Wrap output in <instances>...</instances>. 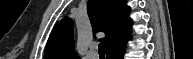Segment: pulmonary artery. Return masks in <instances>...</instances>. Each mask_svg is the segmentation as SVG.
I'll return each mask as SVG.
<instances>
[{"mask_svg":"<svg viewBox=\"0 0 193 59\" xmlns=\"http://www.w3.org/2000/svg\"><path fill=\"white\" fill-rule=\"evenodd\" d=\"M87 58L88 59H97L98 58V55L96 54V52L94 51V49H90L88 52H87Z\"/></svg>","mask_w":193,"mask_h":59,"instance_id":"e3ab8cb5","label":"pulmonary artery"}]
</instances>
